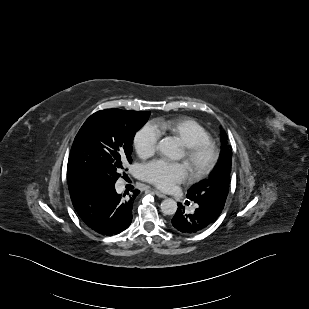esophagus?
Returning <instances> with one entry per match:
<instances>
[{"instance_id": "esophagus-1", "label": "esophagus", "mask_w": 309, "mask_h": 309, "mask_svg": "<svg viewBox=\"0 0 309 309\" xmlns=\"http://www.w3.org/2000/svg\"><path fill=\"white\" fill-rule=\"evenodd\" d=\"M153 191L160 198H165L166 197V195L164 193H162L161 191H158V190H155V189H153Z\"/></svg>"}]
</instances>
